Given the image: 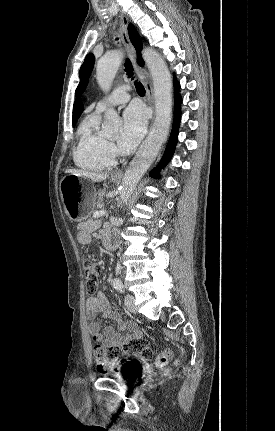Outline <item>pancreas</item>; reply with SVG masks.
I'll list each match as a JSON object with an SVG mask.
<instances>
[{
	"instance_id": "cf45deb5",
	"label": "pancreas",
	"mask_w": 275,
	"mask_h": 431,
	"mask_svg": "<svg viewBox=\"0 0 275 431\" xmlns=\"http://www.w3.org/2000/svg\"><path fill=\"white\" fill-rule=\"evenodd\" d=\"M104 195H105V190H99L97 204H100L103 201Z\"/></svg>"
}]
</instances>
